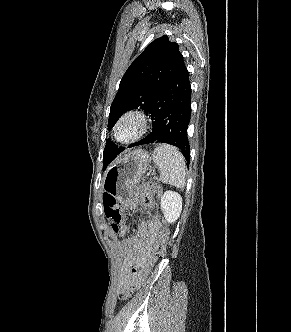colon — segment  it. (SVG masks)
I'll list each match as a JSON object with an SVG mask.
<instances>
[{"label": "colon", "mask_w": 291, "mask_h": 332, "mask_svg": "<svg viewBox=\"0 0 291 332\" xmlns=\"http://www.w3.org/2000/svg\"><path fill=\"white\" fill-rule=\"evenodd\" d=\"M161 193L159 186L152 182L144 183L140 186V199L141 203L145 207H151L153 204L154 196ZM103 207L106 218L111 222L112 228L116 233L122 235L127 232L123 231L122 214L118 207V203L115 197L109 193H105L103 196ZM169 238V232L166 226H164L160 232L159 240L154 246L153 252L146 261V263L139 269L134 271V276L130 284L123 291V298L126 299L130 297L134 292H136L146 280L150 270L154 264L164 256L165 247Z\"/></svg>", "instance_id": "obj_1"}]
</instances>
